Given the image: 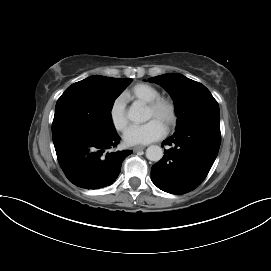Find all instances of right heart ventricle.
I'll return each instance as SVG.
<instances>
[{"instance_id":"1","label":"right heart ventricle","mask_w":271,"mask_h":271,"mask_svg":"<svg viewBox=\"0 0 271 271\" xmlns=\"http://www.w3.org/2000/svg\"><path fill=\"white\" fill-rule=\"evenodd\" d=\"M125 98L140 101L142 103H149L160 96L159 90L151 84L139 83L125 92Z\"/></svg>"}]
</instances>
